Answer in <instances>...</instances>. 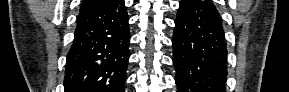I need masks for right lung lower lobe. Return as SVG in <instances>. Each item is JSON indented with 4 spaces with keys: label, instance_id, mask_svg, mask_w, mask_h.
<instances>
[{
    "label": "right lung lower lobe",
    "instance_id": "obj_1",
    "mask_svg": "<svg viewBox=\"0 0 289 92\" xmlns=\"http://www.w3.org/2000/svg\"><path fill=\"white\" fill-rule=\"evenodd\" d=\"M128 20L124 0L80 12L67 55L65 92H124Z\"/></svg>",
    "mask_w": 289,
    "mask_h": 92
}]
</instances>
